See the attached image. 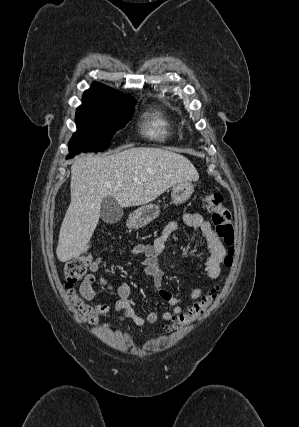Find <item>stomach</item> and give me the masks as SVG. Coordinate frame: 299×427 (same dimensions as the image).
<instances>
[{
  "label": "stomach",
  "instance_id": "1",
  "mask_svg": "<svg viewBox=\"0 0 299 427\" xmlns=\"http://www.w3.org/2000/svg\"><path fill=\"white\" fill-rule=\"evenodd\" d=\"M194 185L191 181L177 183L172 187L171 198L175 205L185 203L193 194ZM160 214V208L156 204H145L130 214L128 224L133 228L146 226L155 220Z\"/></svg>",
  "mask_w": 299,
  "mask_h": 427
}]
</instances>
